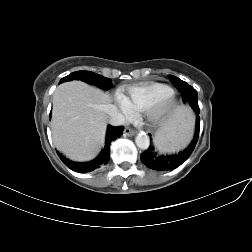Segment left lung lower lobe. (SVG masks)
<instances>
[{"label": "left lung lower lobe", "instance_id": "1", "mask_svg": "<svg viewBox=\"0 0 252 252\" xmlns=\"http://www.w3.org/2000/svg\"><path fill=\"white\" fill-rule=\"evenodd\" d=\"M175 87L182 94L183 101L189 103L197 114L194 138L184 151L173 155H159L153 145H150L149 148L141 154L140 159L148 168L153 170H172L180 166L193 152L199 137L200 118L198 115L199 106L197 102V91L186 82L177 83Z\"/></svg>", "mask_w": 252, "mask_h": 252}]
</instances>
